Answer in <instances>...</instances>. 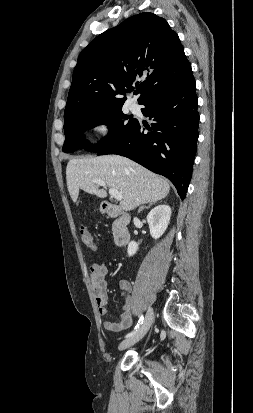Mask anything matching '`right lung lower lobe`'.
I'll use <instances>...</instances> for the list:
<instances>
[{"label":"right lung lower lobe","instance_id":"right-lung-lower-lobe-1","mask_svg":"<svg viewBox=\"0 0 253 413\" xmlns=\"http://www.w3.org/2000/svg\"><path fill=\"white\" fill-rule=\"evenodd\" d=\"M196 83L192 70L177 85L150 95L140 104L152 118L144 133L138 121L119 139L97 152L128 157L172 181L182 199L191 180L198 139Z\"/></svg>","mask_w":253,"mask_h":413}]
</instances>
